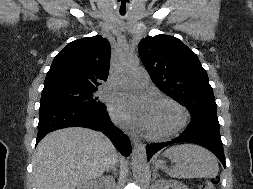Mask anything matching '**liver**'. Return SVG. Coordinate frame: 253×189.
Instances as JSON below:
<instances>
[{
    "label": "liver",
    "instance_id": "6515ba94",
    "mask_svg": "<svg viewBox=\"0 0 253 189\" xmlns=\"http://www.w3.org/2000/svg\"><path fill=\"white\" fill-rule=\"evenodd\" d=\"M119 154L101 132L65 128L46 135L33 160L36 189H75L113 168Z\"/></svg>",
    "mask_w": 253,
    "mask_h": 189
}]
</instances>
